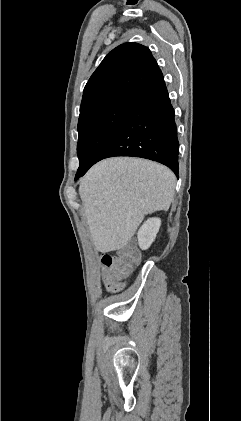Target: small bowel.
<instances>
[{"mask_svg": "<svg viewBox=\"0 0 241 421\" xmlns=\"http://www.w3.org/2000/svg\"><path fill=\"white\" fill-rule=\"evenodd\" d=\"M119 288H120V286H117V285H110L109 284V286H108V290L110 292H116L117 290H119Z\"/></svg>", "mask_w": 241, "mask_h": 421, "instance_id": "small-bowel-1", "label": "small bowel"}]
</instances>
